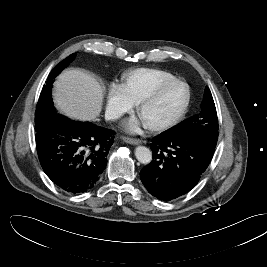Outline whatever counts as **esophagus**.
<instances>
[{"label": "esophagus", "instance_id": "obj_1", "mask_svg": "<svg viewBox=\"0 0 267 267\" xmlns=\"http://www.w3.org/2000/svg\"><path fill=\"white\" fill-rule=\"evenodd\" d=\"M123 141L132 145H138L141 144L142 140L138 138H130V137H124Z\"/></svg>", "mask_w": 267, "mask_h": 267}]
</instances>
